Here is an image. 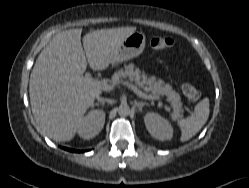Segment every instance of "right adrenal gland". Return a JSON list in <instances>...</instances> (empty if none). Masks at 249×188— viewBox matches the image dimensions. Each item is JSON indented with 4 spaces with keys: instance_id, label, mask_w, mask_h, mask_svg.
<instances>
[{
    "instance_id": "1",
    "label": "right adrenal gland",
    "mask_w": 249,
    "mask_h": 188,
    "mask_svg": "<svg viewBox=\"0 0 249 188\" xmlns=\"http://www.w3.org/2000/svg\"><path fill=\"white\" fill-rule=\"evenodd\" d=\"M105 104V102H99V103H95V104H92V108L94 107V106H99V105H104Z\"/></svg>"
}]
</instances>
